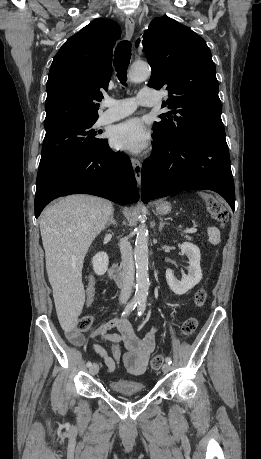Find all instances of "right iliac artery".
Listing matches in <instances>:
<instances>
[{"label": "right iliac artery", "instance_id": "obj_1", "mask_svg": "<svg viewBox=\"0 0 261 459\" xmlns=\"http://www.w3.org/2000/svg\"><path fill=\"white\" fill-rule=\"evenodd\" d=\"M139 303V300L137 299H132L128 304L127 306L125 307L123 313H122V316H128L134 309L135 307L137 306V304ZM87 367H91L92 366V363L90 361L87 362L86 364Z\"/></svg>", "mask_w": 261, "mask_h": 459}]
</instances>
